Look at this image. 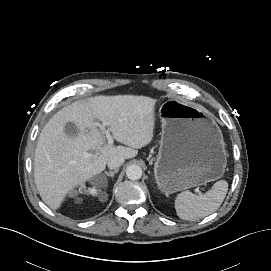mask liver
Segmentation results:
<instances>
[{
    "label": "liver",
    "instance_id": "obj_1",
    "mask_svg": "<svg viewBox=\"0 0 271 271\" xmlns=\"http://www.w3.org/2000/svg\"><path fill=\"white\" fill-rule=\"evenodd\" d=\"M155 105L145 96H97L58 111L41 131L34 156L35 184L45 204L58 209L69 191L104 171L111 158L135 157L153 140ZM97 121L128 147L106 144ZM69 122L76 125V136L65 133ZM89 151L94 156L83 157Z\"/></svg>",
    "mask_w": 271,
    "mask_h": 271
}]
</instances>
